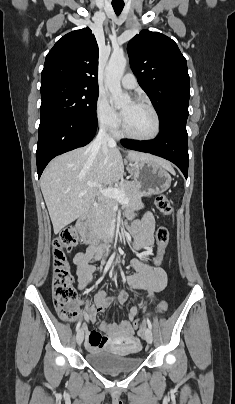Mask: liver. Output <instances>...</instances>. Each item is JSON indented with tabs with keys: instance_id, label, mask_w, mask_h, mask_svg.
<instances>
[{
	"instance_id": "obj_1",
	"label": "liver",
	"mask_w": 235,
	"mask_h": 404,
	"mask_svg": "<svg viewBox=\"0 0 235 404\" xmlns=\"http://www.w3.org/2000/svg\"><path fill=\"white\" fill-rule=\"evenodd\" d=\"M127 159L130 162L154 159L167 170H172L168 161L150 154L129 151ZM123 171L122 155L115 145L108 146L107 155L101 147L92 151L91 143L54 158L44 170L40 182L54 233L58 234L91 207L98 187H89L88 182L111 186L121 179Z\"/></svg>"
}]
</instances>
